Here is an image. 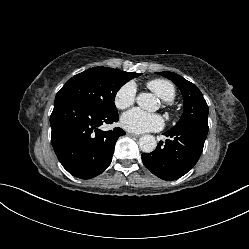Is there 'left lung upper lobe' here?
I'll list each match as a JSON object with an SVG mask.
<instances>
[{"label":"left lung upper lobe","instance_id":"5c2ea615","mask_svg":"<svg viewBox=\"0 0 249 249\" xmlns=\"http://www.w3.org/2000/svg\"><path fill=\"white\" fill-rule=\"evenodd\" d=\"M172 80L181 90L184 100V111L179 122L172 128H180L198 120L208 121V105L200 90L182 76L172 72L158 73Z\"/></svg>","mask_w":249,"mask_h":249}]
</instances>
